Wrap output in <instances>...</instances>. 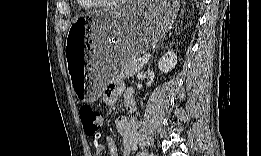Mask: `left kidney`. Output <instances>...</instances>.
Wrapping results in <instances>:
<instances>
[{
    "mask_svg": "<svg viewBox=\"0 0 261 156\" xmlns=\"http://www.w3.org/2000/svg\"><path fill=\"white\" fill-rule=\"evenodd\" d=\"M177 64V55L173 51L167 52L159 61L158 68L162 73H169Z\"/></svg>",
    "mask_w": 261,
    "mask_h": 156,
    "instance_id": "left-kidney-1",
    "label": "left kidney"
}]
</instances>
